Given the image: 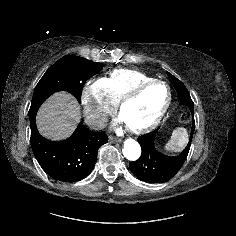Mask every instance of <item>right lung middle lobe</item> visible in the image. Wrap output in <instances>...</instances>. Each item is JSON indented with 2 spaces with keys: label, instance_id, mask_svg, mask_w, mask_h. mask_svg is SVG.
Wrapping results in <instances>:
<instances>
[{
  "label": "right lung middle lobe",
  "instance_id": "dd1d6c3e",
  "mask_svg": "<svg viewBox=\"0 0 236 236\" xmlns=\"http://www.w3.org/2000/svg\"><path fill=\"white\" fill-rule=\"evenodd\" d=\"M102 68V64L82 57H62L46 71L36 85L29 112L38 109L50 95L62 90L71 93L80 103L86 80Z\"/></svg>",
  "mask_w": 236,
  "mask_h": 236
}]
</instances>
